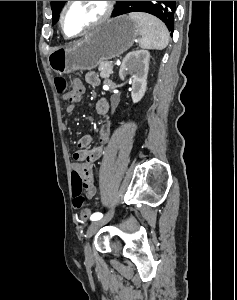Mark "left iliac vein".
<instances>
[{
    "label": "left iliac vein",
    "mask_w": 237,
    "mask_h": 300,
    "mask_svg": "<svg viewBox=\"0 0 237 300\" xmlns=\"http://www.w3.org/2000/svg\"><path fill=\"white\" fill-rule=\"evenodd\" d=\"M114 215V210L111 209L107 215L105 216V218L103 220H97L95 222H92L87 230V240H89L93 234L105 223H107ZM84 255H85V262L87 265H91L93 262V256H92V251L90 249V245L88 243V241L85 243L84 245Z\"/></svg>",
    "instance_id": "obj_1"
}]
</instances>
